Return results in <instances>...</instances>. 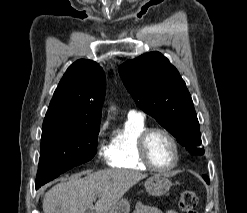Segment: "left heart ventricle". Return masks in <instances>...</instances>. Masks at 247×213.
<instances>
[{"label": "left heart ventricle", "instance_id": "obj_1", "mask_svg": "<svg viewBox=\"0 0 247 213\" xmlns=\"http://www.w3.org/2000/svg\"><path fill=\"white\" fill-rule=\"evenodd\" d=\"M150 160L157 167L170 166L174 160V150L170 140L162 133H153L147 143Z\"/></svg>", "mask_w": 247, "mask_h": 213}]
</instances>
